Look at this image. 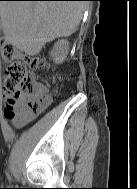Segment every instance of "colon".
<instances>
[{
	"instance_id": "colon-1",
	"label": "colon",
	"mask_w": 137,
	"mask_h": 189,
	"mask_svg": "<svg viewBox=\"0 0 137 189\" xmlns=\"http://www.w3.org/2000/svg\"><path fill=\"white\" fill-rule=\"evenodd\" d=\"M4 54L10 53L9 47H4ZM5 88L7 92L18 93L23 99L25 95H31L35 90V85L31 80L24 77L23 69L19 65H12L6 75ZM36 101L41 103L40 96L35 94V101L32 103L33 106L36 105Z\"/></svg>"
}]
</instances>
